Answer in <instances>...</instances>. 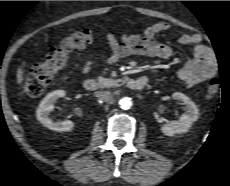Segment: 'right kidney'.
Here are the masks:
<instances>
[{
    "label": "right kidney",
    "instance_id": "ca27d5eb",
    "mask_svg": "<svg viewBox=\"0 0 230 186\" xmlns=\"http://www.w3.org/2000/svg\"><path fill=\"white\" fill-rule=\"evenodd\" d=\"M66 95L65 90L59 89L55 90L49 94L40 102L36 116L39 122H41L45 127L53 131L66 132L74 128V123L70 120L64 121H52L49 117L50 112L54 110V102Z\"/></svg>",
    "mask_w": 230,
    "mask_h": 186
}]
</instances>
